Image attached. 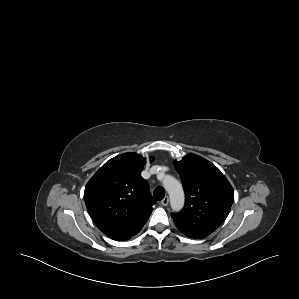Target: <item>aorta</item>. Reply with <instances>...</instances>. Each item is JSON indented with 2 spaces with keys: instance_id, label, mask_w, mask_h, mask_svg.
Masks as SVG:
<instances>
[{
  "instance_id": "1",
  "label": "aorta",
  "mask_w": 299,
  "mask_h": 299,
  "mask_svg": "<svg viewBox=\"0 0 299 299\" xmlns=\"http://www.w3.org/2000/svg\"><path fill=\"white\" fill-rule=\"evenodd\" d=\"M163 186L170 197V205L173 211H180L184 206V191L181 183L174 177L167 175L163 180Z\"/></svg>"
}]
</instances>
